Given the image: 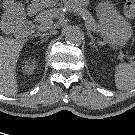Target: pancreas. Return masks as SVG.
Masks as SVG:
<instances>
[{
    "label": "pancreas",
    "mask_w": 135,
    "mask_h": 135,
    "mask_svg": "<svg viewBox=\"0 0 135 135\" xmlns=\"http://www.w3.org/2000/svg\"><path fill=\"white\" fill-rule=\"evenodd\" d=\"M69 9L74 11L79 16L85 18L86 24L93 31H101L100 25H98L92 15L82 6V3L78 0H68L66 2ZM62 14V8H51L41 11L35 18V21L39 22L41 26H47V29L52 27V21L58 18Z\"/></svg>",
    "instance_id": "cf45deb5"
}]
</instances>
